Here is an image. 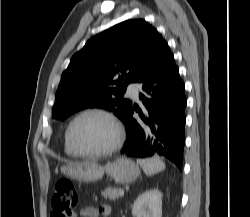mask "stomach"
<instances>
[{
	"label": "stomach",
	"mask_w": 250,
	"mask_h": 217,
	"mask_svg": "<svg viewBox=\"0 0 250 217\" xmlns=\"http://www.w3.org/2000/svg\"><path fill=\"white\" fill-rule=\"evenodd\" d=\"M64 174L86 182H97L106 173L116 183L127 184L134 182L140 174L139 166L130 159L118 158L106 164L98 165L93 162L71 163L61 168Z\"/></svg>",
	"instance_id": "1"
}]
</instances>
